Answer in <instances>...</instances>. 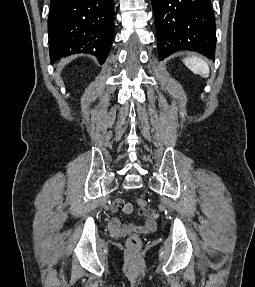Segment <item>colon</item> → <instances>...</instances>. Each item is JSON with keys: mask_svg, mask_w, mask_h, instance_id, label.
Wrapping results in <instances>:
<instances>
[{"mask_svg": "<svg viewBox=\"0 0 255 287\" xmlns=\"http://www.w3.org/2000/svg\"><path fill=\"white\" fill-rule=\"evenodd\" d=\"M137 204L140 207H145L147 205V202L146 200L139 198L137 200ZM139 243H140V239H139V236L136 234L131 235L127 240V244L130 248H136L139 245Z\"/></svg>", "mask_w": 255, "mask_h": 287, "instance_id": "colon-1", "label": "colon"}]
</instances>
